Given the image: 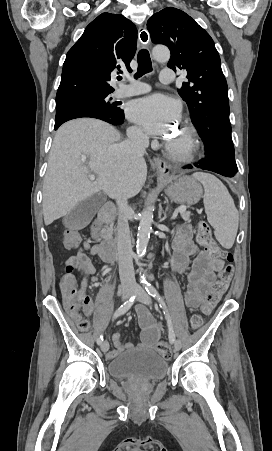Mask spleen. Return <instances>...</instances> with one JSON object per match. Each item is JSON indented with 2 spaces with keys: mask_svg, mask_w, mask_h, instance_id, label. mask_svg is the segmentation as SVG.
Wrapping results in <instances>:
<instances>
[{
  "mask_svg": "<svg viewBox=\"0 0 272 451\" xmlns=\"http://www.w3.org/2000/svg\"><path fill=\"white\" fill-rule=\"evenodd\" d=\"M204 188V208L210 226L214 227L216 239L222 247H232L239 224L238 210L235 208L226 186L212 174L195 172L192 174Z\"/></svg>",
  "mask_w": 272,
  "mask_h": 451,
  "instance_id": "1",
  "label": "spleen"
}]
</instances>
